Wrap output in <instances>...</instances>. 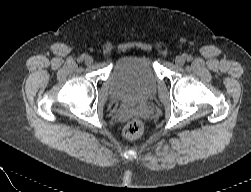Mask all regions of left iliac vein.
<instances>
[{
	"mask_svg": "<svg viewBox=\"0 0 251 192\" xmlns=\"http://www.w3.org/2000/svg\"><path fill=\"white\" fill-rule=\"evenodd\" d=\"M184 63H185V58H184L183 56H177V57L175 58V64H176L177 66H183Z\"/></svg>",
	"mask_w": 251,
	"mask_h": 192,
	"instance_id": "obj_1",
	"label": "left iliac vein"
}]
</instances>
